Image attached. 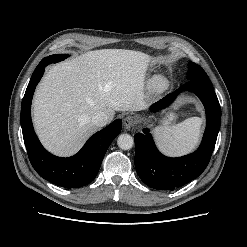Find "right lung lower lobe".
<instances>
[{"instance_id":"98d812e1","label":"right lung lower lobe","mask_w":247,"mask_h":247,"mask_svg":"<svg viewBox=\"0 0 247 247\" xmlns=\"http://www.w3.org/2000/svg\"><path fill=\"white\" fill-rule=\"evenodd\" d=\"M51 64L42 60L36 67L27 86L21 105V126L29 160L36 172L47 181L65 188H78L90 183L97 175L103 157L111 142L121 132L122 121L110 125L94 134L74 156L56 157L47 152L39 142L31 121V101L36 85Z\"/></svg>"}]
</instances>
